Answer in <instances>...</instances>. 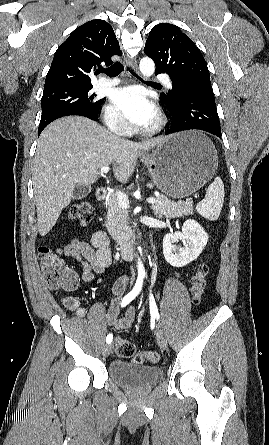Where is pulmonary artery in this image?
Wrapping results in <instances>:
<instances>
[{
	"label": "pulmonary artery",
	"instance_id": "obj_1",
	"mask_svg": "<svg viewBox=\"0 0 269 445\" xmlns=\"http://www.w3.org/2000/svg\"><path fill=\"white\" fill-rule=\"evenodd\" d=\"M164 83L165 85H167L168 87L172 86L171 80L167 75H161L159 77ZM119 84V80L116 78H106V77H102L98 80L97 82V86L101 87V88H106V87H112Z\"/></svg>",
	"mask_w": 269,
	"mask_h": 445
}]
</instances>
